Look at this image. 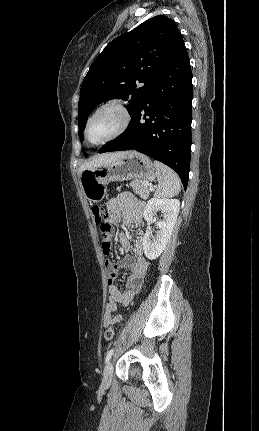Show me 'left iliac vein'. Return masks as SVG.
<instances>
[{"instance_id":"obj_1","label":"left iliac vein","mask_w":259,"mask_h":431,"mask_svg":"<svg viewBox=\"0 0 259 431\" xmlns=\"http://www.w3.org/2000/svg\"><path fill=\"white\" fill-rule=\"evenodd\" d=\"M112 374H113V364L110 361L106 364L103 372V383L105 385H109L111 383Z\"/></svg>"}]
</instances>
